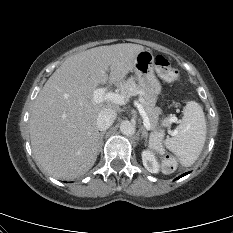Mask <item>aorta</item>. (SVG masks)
Masks as SVG:
<instances>
[{
	"mask_svg": "<svg viewBox=\"0 0 233 233\" xmlns=\"http://www.w3.org/2000/svg\"><path fill=\"white\" fill-rule=\"evenodd\" d=\"M120 131L122 134L127 136L133 135L136 131L135 124L128 120L122 121L120 124Z\"/></svg>",
	"mask_w": 233,
	"mask_h": 233,
	"instance_id": "1",
	"label": "aorta"
}]
</instances>
